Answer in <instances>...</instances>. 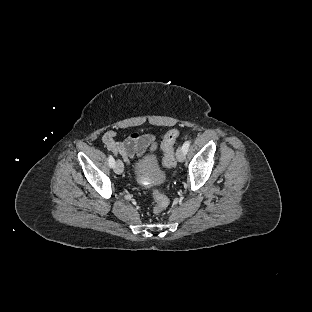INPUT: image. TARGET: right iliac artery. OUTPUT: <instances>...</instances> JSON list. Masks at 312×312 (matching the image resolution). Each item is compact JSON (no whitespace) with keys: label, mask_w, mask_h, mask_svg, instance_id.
Listing matches in <instances>:
<instances>
[{"label":"right iliac artery","mask_w":312,"mask_h":312,"mask_svg":"<svg viewBox=\"0 0 312 312\" xmlns=\"http://www.w3.org/2000/svg\"><path fill=\"white\" fill-rule=\"evenodd\" d=\"M108 163H109L110 168H113V167H114V165H115V160H114V158L112 157V155H109V157H108Z\"/></svg>","instance_id":"82829eb1"}]
</instances>
